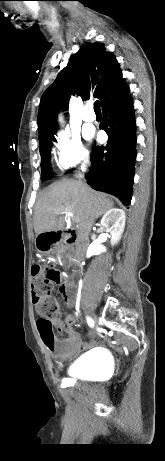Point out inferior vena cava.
<instances>
[{
  "label": "inferior vena cava",
  "mask_w": 165,
  "mask_h": 461,
  "mask_svg": "<svg viewBox=\"0 0 165 461\" xmlns=\"http://www.w3.org/2000/svg\"><path fill=\"white\" fill-rule=\"evenodd\" d=\"M88 164H89V160L86 159V160L84 161V164H83V167H82V170H83V171L86 170V166H87Z\"/></svg>",
  "instance_id": "obj_1"
}]
</instances>
